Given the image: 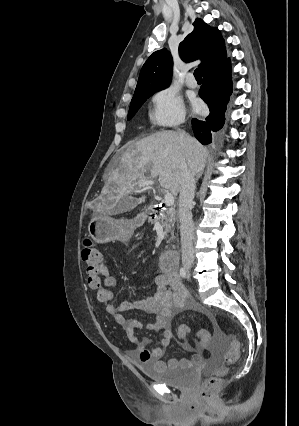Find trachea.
Listing matches in <instances>:
<instances>
[{
	"label": "trachea",
	"instance_id": "obj_1",
	"mask_svg": "<svg viewBox=\"0 0 299 426\" xmlns=\"http://www.w3.org/2000/svg\"><path fill=\"white\" fill-rule=\"evenodd\" d=\"M194 76H195L196 80H202V74H201V69L200 68H197L194 71Z\"/></svg>",
	"mask_w": 299,
	"mask_h": 426
}]
</instances>
